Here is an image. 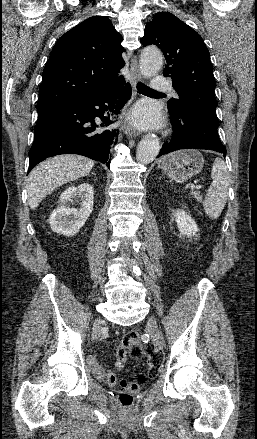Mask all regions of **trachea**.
Segmentation results:
<instances>
[{
	"instance_id": "trachea-1",
	"label": "trachea",
	"mask_w": 257,
	"mask_h": 439,
	"mask_svg": "<svg viewBox=\"0 0 257 439\" xmlns=\"http://www.w3.org/2000/svg\"><path fill=\"white\" fill-rule=\"evenodd\" d=\"M137 89L140 92H145V93H157L154 90H152L151 88H149L148 86H146L145 84L138 82L137 83Z\"/></svg>"
}]
</instances>
